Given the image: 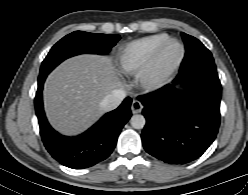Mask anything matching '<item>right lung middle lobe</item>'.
<instances>
[{
    "label": "right lung middle lobe",
    "mask_w": 248,
    "mask_h": 195,
    "mask_svg": "<svg viewBox=\"0 0 248 195\" xmlns=\"http://www.w3.org/2000/svg\"><path fill=\"white\" fill-rule=\"evenodd\" d=\"M120 39L119 35L75 31L58 41L42 62L40 75H48L65 59L83 53L107 54Z\"/></svg>",
    "instance_id": "dd1d6c3e"
}]
</instances>
